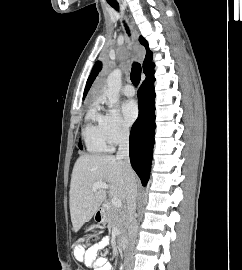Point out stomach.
<instances>
[{
	"label": "stomach",
	"instance_id": "obj_1",
	"mask_svg": "<svg viewBox=\"0 0 242 270\" xmlns=\"http://www.w3.org/2000/svg\"><path fill=\"white\" fill-rule=\"evenodd\" d=\"M100 214H101V217H103V218L105 217V212L104 211H101Z\"/></svg>",
	"mask_w": 242,
	"mask_h": 270
}]
</instances>
